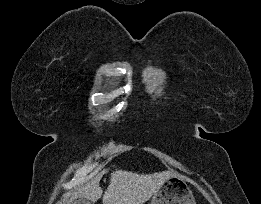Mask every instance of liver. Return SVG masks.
<instances>
[{
  "label": "liver",
  "mask_w": 261,
  "mask_h": 204,
  "mask_svg": "<svg viewBox=\"0 0 261 204\" xmlns=\"http://www.w3.org/2000/svg\"><path fill=\"white\" fill-rule=\"evenodd\" d=\"M107 170L99 173L91 181L80 186L65 204L84 198L96 202L103 194L100 179ZM173 174L172 171L138 174L116 170L111 173L110 183L103 195V204H143L148 201L162 184Z\"/></svg>",
  "instance_id": "6515ba94"
}]
</instances>
